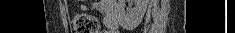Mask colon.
<instances>
[{
  "label": "colon",
  "mask_w": 235,
  "mask_h": 33,
  "mask_svg": "<svg viewBox=\"0 0 235 33\" xmlns=\"http://www.w3.org/2000/svg\"><path fill=\"white\" fill-rule=\"evenodd\" d=\"M71 25L75 33H97V19L85 12H75L71 16Z\"/></svg>",
  "instance_id": "colon-1"
}]
</instances>
